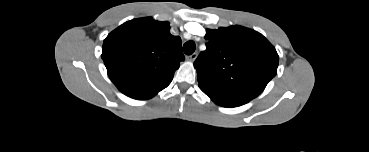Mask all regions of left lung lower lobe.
Returning <instances> with one entry per match:
<instances>
[{
  "mask_svg": "<svg viewBox=\"0 0 369 152\" xmlns=\"http://www.w3.org/2000/svg\"><path fill=\"white\" fill-rule=\"evenodd\" d=\"M200 89L207 96H209L212 101H214L216 104L223 106V107H237V106L246 104L250 101L249 99L245 97H241L237 95L217 92V91H214L211 89H205L202 87H200Z\"/></svg>",
  "mask_w": 369,
  "mask_h": 152,
  "instance_id": "0a47b994",
  "label": "left lung lower lobe"
}]
</instances>
